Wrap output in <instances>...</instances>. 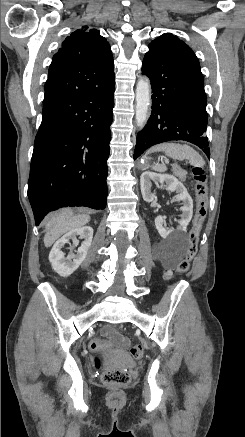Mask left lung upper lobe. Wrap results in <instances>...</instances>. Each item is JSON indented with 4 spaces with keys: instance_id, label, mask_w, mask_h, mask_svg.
Segmentation results:
<instances>
[{
    "instance_id": "left-lung-upper-lobe-1",
    "label": "left lung upper lobe",
    "mask_w": 245,
    "mask_h": 437,
    "mask_svg": "<svg viewBox=\"0 0 245 437\" xmlns=\"http://www.w3.org/2000/svg\"><path fill=\"white\" fill-rule=\"evenodd\" d=\"M149 48H161L171 55L179 57L200 68L198 58L192 49L171 33L163 34L149 44Z\"/></svg>"
}]
</instances>
